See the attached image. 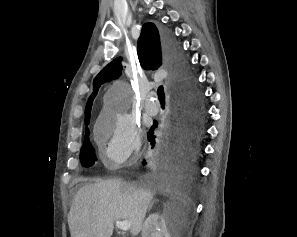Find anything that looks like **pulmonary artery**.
<instances>
[{"mask_svg": "<svg viewBox=\"0 0 297 237\" xmlns=\"http://www.w3.org/2000/svg\"><path fill=\"white\" fill-rule=\"evenodd\" d=\"M144 108L148 114L155 115L159 111V104L153 101V98L151 95L146 99Z\"/></svg>", "mask_w": 297, "mask_h": 237, "instance_id": "1", "label": "pulmonary artery"}]
</instances>
